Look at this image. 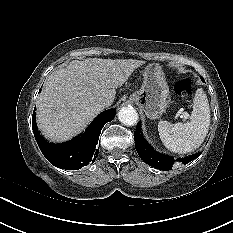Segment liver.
<instances>
[{
	"mask_svg": "<svg viewBox=\"0 0 233 233\" xmlns=\"http://www.w3.org/2000/svg\"><path fill=\"white\" fill-rule=\"evenodd\" d=\"M145 62L133 59L87 58L73 60L52 72L39 95L36 121L42 134L53 142H63L79 134L104 108L111 104L116 88Z\"/></svg>",
	"mask_w": 233,
	"mask_h": 233,
	"instance_id": "obj_1",
	"label": "liver"
}]
</instances>
